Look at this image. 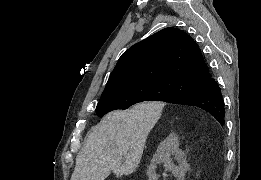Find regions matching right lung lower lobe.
Listing matches in <instances>:
<instances>
[{
	"mask_svg": "<svg viewBox=\"0 0 261 180\" xmlns=\"http://www.w3.org/2000/svg\"><path fill=\"white\" fill-rule=\"evenodd\" d=\"M199 84L198 89L173 97L167 102L197 106L211 114L223 125L225 123V107L219 84L211 74Z\"/></svg>",
	"mask_w": 261,
	"mask_h": 180,
	"instance_id": "98d812e1",
	"label": "right lung lower lobe"
}]
</instances>
